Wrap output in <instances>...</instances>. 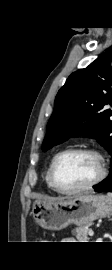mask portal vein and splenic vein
Returning <instances> with one entry per match:
<instances>
[{
    "label": "portal vein and splenic vein",
    "instance_id": "18ae733b",
    "mask_svg": "<svg viewBox=\"0 0 112 270\" xmlns=\"http://www.w3.org/2000/svg\"><path fill=\"white\" fill-rule=\"evenodd\" d=\"M88 234H89L90 236H93V235H94V232H93L92 230H89Z\"/></svg>",
    "mask_w": 112,
    "mask_h": 270
}]
</instances>
